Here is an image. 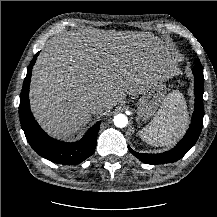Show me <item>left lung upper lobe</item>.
I'll list each match as a JSON object with an SVG mask.
<instances>
[{"label":"left lung upper lobe","mask_w":217,"mask_h":217,"mask_svg":"<svg viewBox=\"0 0 217 217\" xmlns=\"http://www.w3.org/2000/svg\"><path fill=\"white\" fill-rule=\"evenodd\" d=\"M194 72L197 73V75L202 76L203 77V67L199 61V59L196 60L195 62V67H194Z\"/></svg>","instance_id":"left-lung-upper-lobe-1"}]
</instances>
